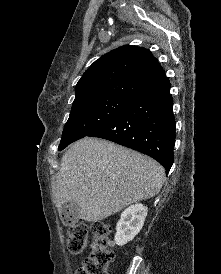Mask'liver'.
<instances>
[{
    "label": "liver",
    "instance_id": "1",
    "mask_svg": "<svg viewBox=\"0 0 221 274\" xmlns=\"http://www.w3.org/2000/svg\"><path fill=\"white\" fill-rule=\"evenodd\" d=\"M164 180V168L152 158L113 142L86 137L63 155L53 202L60 209L75 201L81 219L97 222L154 197Z\"/></svg>",
    "mask_w": 221,
    "mask_h": 274
}]
</instances>
